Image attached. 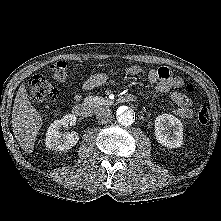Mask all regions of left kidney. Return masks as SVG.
Here are the masks:
<instances>
[{"mask_svg":"<svg viewBox=\"0 0 221 221\" xmlns=\"http://www.w3.org/2000/svg\"><path fill=\"white\" fill-rule=\"evenodd\" d=\"M156 140L168 147L177 148L183 144V125L171 114H162L155 120ZM172 130V131H171Z\"/></svg>","mask_w":221,"mask_h":221,"instance_id":"obj_1","label":"left kidney"}]
</instances>
